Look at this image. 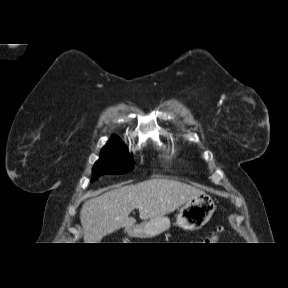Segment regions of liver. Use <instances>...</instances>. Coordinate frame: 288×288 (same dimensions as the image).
I'll use <instances>...</instances> for the list:
<instances>
[{
	"instance_id": "liver-1",
	"label": "liver",
	"mask_w": 288,
	"mask_h": 288,
	"mask_svg": "<svg viewBox=\"0 0 288 288\" xmlns=\"http://www.w3.org/2000/svg\"><path fill=\"white\" fill-rule=\"evenodd\" d=\"M201 192L196 187L166 178L112 189L82 206L80 221L84 241L99 243L104 236L120 228L133 227L136 219L129 215L136 208L140 219L151 220L172 213Z\"/></svg>"
}]
</instances>
